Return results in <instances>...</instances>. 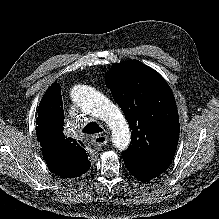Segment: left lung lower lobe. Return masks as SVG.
<instances>
[{
  "instance_id": "1",
  "label": "left lung lower lobe",
  "mask_w": 219,
  "mask_h": 219,
  "mask_svg": "<svg viewBox=\"0 0 219 219\" xmlns=\"http://www.w3.org/2000/svg\"><path fill=\"white\" fill-rule=\"evenodd\" d=\"M128 171L141 182H147L164 172L170 163H157L149 161H134L124 158Z\"/></svg>"
}]
</instances>
